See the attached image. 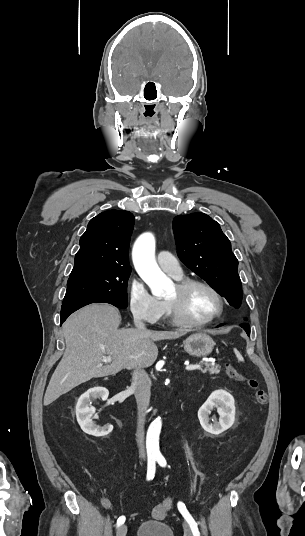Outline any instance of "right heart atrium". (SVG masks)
<instances>
[{
  "label": "right heart atrium",
  "mask_w": 305,
  "mask_h": 536,
  "mask_svg": "<svg viewBox=\"0 0 305 536\" xmlns=\"http://www.w3.org/2000/svg\"><path fill=\"white\" fill-rule=\"evenodd\" d=\"M127 293L128 307L134 318L154 323L164 313V303L151 295L141 281L131 279Z\"/></svg>",
  "instance_id": "obj_1"
}]
</instances>
